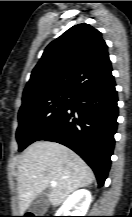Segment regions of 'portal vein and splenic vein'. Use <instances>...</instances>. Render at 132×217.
I'll list each match as a JSON object with an SVG mask.
<instances>
[{
    "instance_id": "obj_1",
    "label": "portal vein and splenic vein",
    "mask_w": 132,
    "mask_h": 217,
    "mask_svg": "<svg viewBox=\"0 0 132 217\" xmlns=\"http://www.w3.org/2000/svg\"><path fill=\"white\" fill-rule=\"evenodd\" d=\"M57 184L55 181H51V186L55 187Z\"/></svg>"
}]
</instances>
